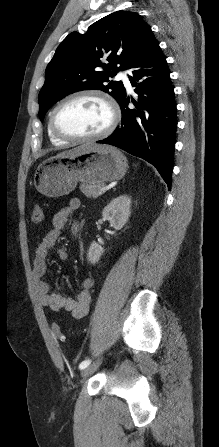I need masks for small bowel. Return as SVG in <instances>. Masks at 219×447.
<instances>
[{"mask_svg":"<svg viewBox=\"0 0 219 447\" xmlns=\"http://www.w3.org/2000/svg\"><path fill=\"white\" fill-rule=\"evenodd\" d=\"M80 206L81 201L78 198H72L67 207L56 212L52 219L53 228L40 240L33 260V287L40 304L53 311L65 310L75 319L83 318L88 313L93 279L91 277L84 278L75 297H68L58 292H52L44 277L49 273L46 260L51 249L60 260L68 259V248L65 245H58L57 240L70 215Z\"/></svg>","mask_w":219,"mask_h":447,"instance_id":"1","label":"small bowel"}]
</instances>
